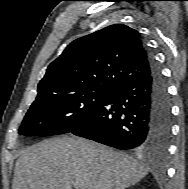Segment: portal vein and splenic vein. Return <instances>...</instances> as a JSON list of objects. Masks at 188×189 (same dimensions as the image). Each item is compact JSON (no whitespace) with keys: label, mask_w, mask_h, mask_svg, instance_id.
<instances>
[{"label":"portal vein and splenic vein","mask_w":188,"mask_h":189,"mask_svg":"<svg viewBox=\"0 0 188 189\" xmlns=\"http://www.w3.org/2000/svg\"><path fill=\"white\" fill-rule=\"evenodd\" d=\"M75 189H79V183H74Z\"/></svg>","instance_id":"1"}]
</instances>
